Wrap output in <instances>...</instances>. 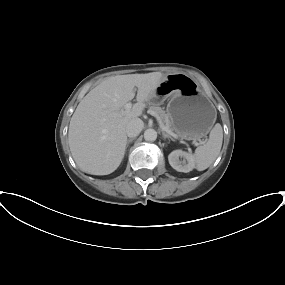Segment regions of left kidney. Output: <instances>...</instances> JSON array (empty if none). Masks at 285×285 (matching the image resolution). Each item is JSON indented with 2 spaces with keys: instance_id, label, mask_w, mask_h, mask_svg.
Masks as SVG:
<instances>
[{
  "instance_id": "5707ae66",
  "label": "left kidney",
  "mask_w": 285,
  "mask_h": 285,
  "mask_svg": "<svg viewBox=\"0 0 285 285\" xmlns=\"http://www.w3.org/2000/svg\"><path fill=\"white\" fill-rule=\"evenodd\" d=\"M183 158V160H180ZM169 164L179 172H190L195 168V160L192 154L182 150H174L168 156Z\"/></svg>"
}]
</instances>
